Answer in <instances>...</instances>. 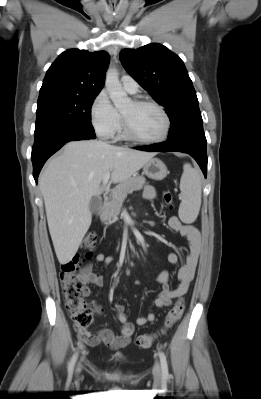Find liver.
<instances>
[{
  "label": "liver",
  "instance_id": "1",
  "mask_svg": "<svg viewBox=\"0 0 261 399\" xmlns=\"http://www.w3.org/2000/svg\"><path fill=\"white\" fill-rule=\"evenodd\" d=\"M155 153L117 147L100 140L67 143L39 178L49 232L60 264L76 254L92 216L89 204L107 188L103 176L122 183L140 170Z\"/></svg>",
  "mask_w": 261,
  "mask_h": 399
}]
</instances>
